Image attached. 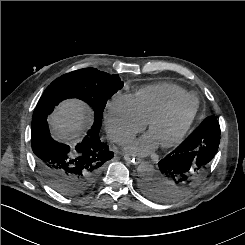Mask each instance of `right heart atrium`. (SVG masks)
Returning <instances> with one entry per match:
<instances>
[{
	"instance_id": "obj_1",
	"label": "right heart atrium",
	"mask_w": 245,
	"mask_h": 245,
	"mask_svg": "<svg viewBox=\"0 0 245 245\" xmlns=\"http://www.w3.org/2000/svg\"><path fill=\"white\" fill-rule=\"evenodd\" d=\"M104 120L108 136L118 144L129 141L146 124L137 112L133 97L126 94H115L107 101Z\"/></svg>"
}]
</instances>
